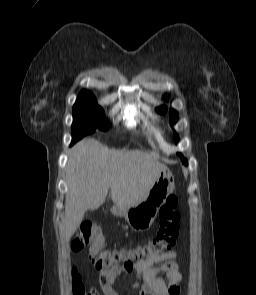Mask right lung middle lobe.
I'll use <instances>...</instances> for the list:
<instances>
[{"instance_id": "obj_1", "label": "right lung middle lobe", "mask_w": 256, "mask_h": 295, "mask_svg": "<svg viewBox=\"0 0 256 295\" xmlns=\"http://www.w3.org/2000/svg\"><path fill=\"white\" fill-rule=\"evenodd\" d=\"M109 123L103 109L95 101L76 102L73 106L72 144L96 129L107 131Z\"/></svg>"}]
</instances>
